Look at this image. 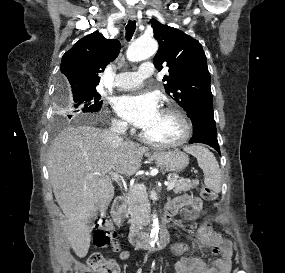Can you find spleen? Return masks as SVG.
<instances>
[{
  "instance_id": "spleen-1",
  "label": "spleen",
  "mask_w": 285,
  "mask_h": 273,
  "mask_svg": "<svg viewBox=\"0 0 285 273\" xmlns=\"http://www.w3.org/2000/svg\"><path fill=\"white\" fill-rule=\"evenodd\" d=\"M186 151L197 159L199 167L203 170L206 186L217 193L220 192V168L213 153L210 152L207 148L198 145L190 146L186 148Z\"/></svg>"
}]
</instances>
